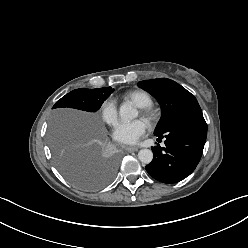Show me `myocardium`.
Masks as SVG:
<instances>
[{
  "label": "myocardium",
  "mask_w": 248,
  "mask_h": 248,
  "mask_svg": "<svg viewBox=\"0 0 248 248\" xmlns=\"http://www.w3.org/2000/svg\"><path fill=\"white\" fill-rule=\"evenodd\" d=\"M141 115L148 121L153 122L156 119V111L151 107H140Z\"/></svg>",
  "instance_id": "myocardium-1"
}]
</instances>
